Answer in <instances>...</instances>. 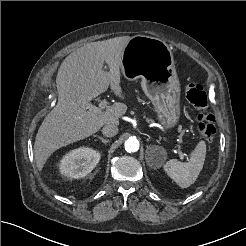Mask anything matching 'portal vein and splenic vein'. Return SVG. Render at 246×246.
I'll return each instance as SVG.
<instances>
[{"mask_svg":"<svg viewBox=\"0 0 246 246\" xmlns=\"http://www.w3.org/2000/svg\"><path fill=\"white\" fill-rule=\"evenodd\" d=\"M106 106H107V101L105 99H103L100 101L98 107L89 103L86 108L89 110L90 113L99 114V113H102L104 111ZM177 153L179 154L181 159H184V157L186 156V154L182 153V151L180 149H177Z\"/></svg>","mask_w":246,"mask_h":246,"instance_id":"18ae733b","label":"portal vein and splenic vein"}]
</instances>
